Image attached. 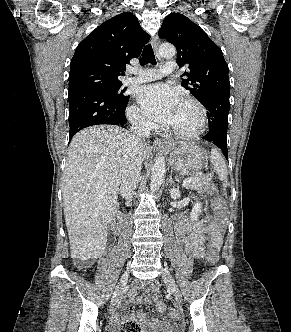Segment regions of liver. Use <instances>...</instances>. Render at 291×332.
<instances>
[{
  "instance_id": "6515ba94",
  "label": "liver",
  "mask_w": 291,
  "mask_h": 332,
  "mask_svg": "<svg viewBox=\"0 0 291 332\" xmlns=\"http://www.w3.org/2000/svg\"><path fill=\"white\" fill-rule=\"evenodd\" d=\"M130 133L118 126L85 128L72 139L63 174L62 194L71 258L102 256L107 225L118 211L123 162ZM152 148L142 147L148 160Z\"/></svg>"
}]
</instances>
